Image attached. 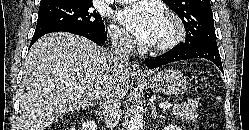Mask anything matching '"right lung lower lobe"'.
Segmentation results:
<instances>
[{"mask_svg":"<svg viewBox=\"0 0 249 130\" xmlns=\"http://www.w3.org/2000/svg\"><path fill=\"white\" fill-rule=\"evenodd\" d=\"M51 32H69V33L81 35V36H84V37L92 40L93 42H95L96 44H99V45L103 44L107 39V34L105 31L95 32V31H92V30H89L86 28H81V27H66V28H60V29H56V30L42 32V33H34L32 40H31L30 47L41 36H43L47 33H51Z\"/></svg>","mask_w":249,"mask_h":130,"instance_id":"right-lung-lower-lobe-1","label":"right lung lower lobe"}]
</instances>
